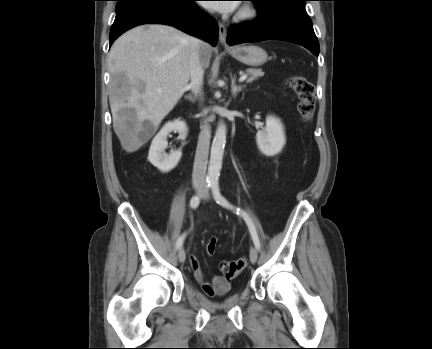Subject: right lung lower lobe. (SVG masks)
Returning <instances> with one entry per match:
<instances>
[{
    "instance_id": "right-lung-lower-lobe-1",
    "label": "right lung lower lobe",
    "mask_w": 432,
    "mask_h": 349,
    "mask_svg": "<svg viewBox=\"0 0 432 349\" xmlns=\"http://www.w3.org/2000/svg\"><path fill=\"white\" fill-rule=\"evenodd\" d=\"M110 32V46L127 30L142 24H165L216 45L218 25L196 0H119Z\"/></svg>"
}]
</instances>
